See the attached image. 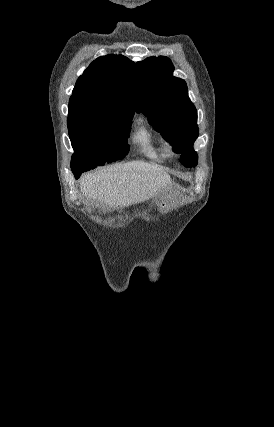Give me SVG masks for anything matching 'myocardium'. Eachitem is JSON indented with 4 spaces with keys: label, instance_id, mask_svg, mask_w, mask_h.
I'll list each match as a JSON object with an SVG mask.
<instances>
[{
    "label": "myocardium",
    "instance_id": "1",
    "mask_svg": "<svg viewBox=\"0 0 274 427\" xmlns=\"http://www.w3.org/2000/svg\"><path fill=\"white\" fill-rule=\"evenodd\" d=\"M165 148H166L167 152L171 155H176L178 153V148L173 141L166 142Z\"/></svg>",
    "mask_w": 274,
    "mask_h": 427
}]
</instances>
